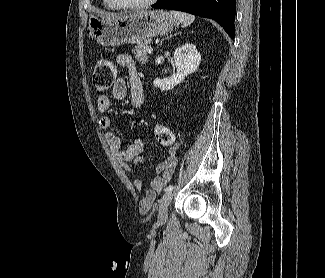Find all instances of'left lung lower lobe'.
Segmentation results:
<instances>
[{
  "mask_svg": "<svg viewBox=\"0 0 325 278\" xmlns=\"http://www.w3.org/2000/svg\"><path fill=\"white\" fill-rule=\"evenodd\" d=\"M152 7L184 11L213 19L231 38H234L236 0H159Z\"/></svg>",
  "mask_w": 325,
  "mask_h": 278,
  "instance_id": "1",
  "label": "left lung lower lobe"
}]
</instances>
